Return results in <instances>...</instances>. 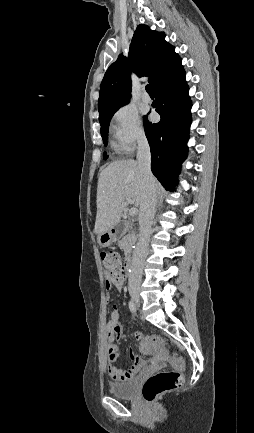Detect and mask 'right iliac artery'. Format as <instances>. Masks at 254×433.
<instances>
[{"mask_svg":"<svg viewBox=\"0 0 254 433\" xmlns=\"http://www.w3.org/2000/svg\"><path fill=\"white\" fill-rule=\"evenodd\" d=\"M129 309L132 313H136V305L133 300L129 302Z\"/></svg>","mask_w":254,"mask_h":433,"instance_id":"obj_1","label":"right iliac artery"}]
</instances>
